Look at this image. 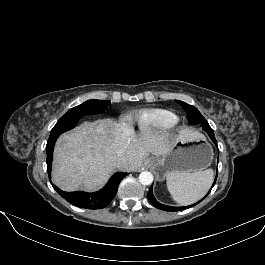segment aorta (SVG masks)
Segmentation results:
<instances>
[{"label": "aorta", "instance_id": "762f6f07", "mask_svg": "<svg viewBox=\"0 0 265 265\" xmlns=\"http://www.w3.org/2000/svg\"><path fill=\"white\" fill-rule=\"evenodd\" d=\"M139 182L142 185H150L153 182V175L149 171H143L139 175Z\"/></svg>", "mask_w": 265, "mask_h": 265}]
</instances>
